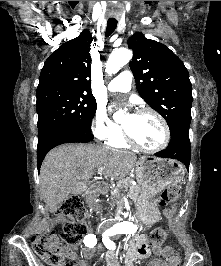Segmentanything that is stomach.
Masks as SVG:
<instances>
[{"label": "stomach", "instance_id": "1", "mask_svg": "<svg viewBox=\"0 0 221 266\" xmlns=\"http://www.w3.org/2000/svg\"><path fill=\"white\" fill-rule=\"evenodd\" d=\"M135 172L138 185L142 188L136 203L146 219H153L156 213L149 198L160 193L169 185L180 183L183 180L185 169L175 160L145 155L137 162Z\"/></svg>", "mask_w": 221, "mask_h": 266}]
</instances>
